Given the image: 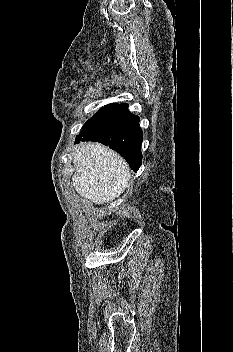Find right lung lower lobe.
Masks as SVG:
<instances>
[{
	"label": "right lung lower lobe",
	"instance_id": "right-lung-lower-lobe-1",
	"mask_svg": "<svg viewBox=\"0 0 233 352\" xmlns=\"http://www.w3.org/2000/svg\"><path fill=\"white\" fill-rule=\"evenodd\" d=\"M142 140L139 117L128 111V104H118L83 127L75 143L96 141L109 146L137 171L142 164Z\"/></svg>",
	"mask_w": 233,
	"mask_h": 352
}]
</instances>
